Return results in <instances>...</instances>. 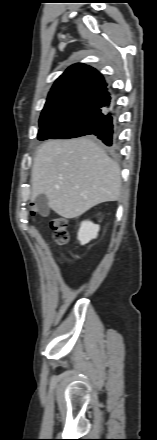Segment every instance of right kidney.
<instances>
[{"mask_svg": "<svg viewBox=\"0 0 157 440\" xmlns=\"http://www.w3.org/2000/svg\"><path fill=\"white\" fill-rule=\"evenodd\" d=\"M99 230V225L94 224L91 221H83L80 225L77 239L81 245H85L91 240L97 238Z\"/></svg>", "mask_w": 157, "mask_h": 440, "instance_id": "1", "label": "right kidney"}]
</instances>
